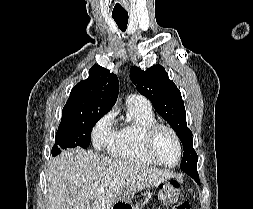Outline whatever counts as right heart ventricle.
Returning <instances> with one entry per match:
<instances>
[{
  "instance_id": "right-heart-ventricle-1",
  "label": "right heart ventricle",
  "mask_w": 253,
  "mask_h": 209,
  "mask_svg": "<svg viewBox=\"0 0 253 209\" xmlns=\"http://www.w3.org/2000/svg\"><path fill=\"white\" fill-rule=\"evenodd\" d=\"M127 104L130 121L117 131L111 153L121 160L151 165L154 162L145 156L142 138L145 129L157 122L155 114L149 102L128 101Z\"/></svg>"
}]
</instances>
